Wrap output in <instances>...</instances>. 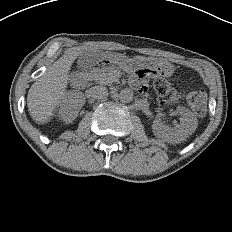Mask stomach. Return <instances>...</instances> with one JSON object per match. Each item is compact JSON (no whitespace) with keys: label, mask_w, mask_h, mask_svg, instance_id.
<instances>
[{"label":"stomach","mask_w":232,"mask_h":232,"mask_svg":"<svg viewBox=\"0 0 232 232\" xmlns=\"http://www.w3.org/2000/svg\"><path fill=\"white\" fill-rule=\"evenodd\" d=\"M110 57H112V58H116L114 55H111Z\"/></svg>","instance_id":"1"}]
</instances>
